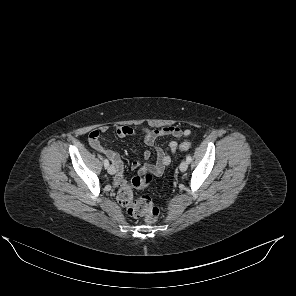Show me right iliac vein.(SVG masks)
Segmentation results:
<instances>
[{
    "instance_id": "right-iliac-vein-1",
    "label": "right iliac vein",
    "mask_w": 296,
    "mask_h": 296,
    "mask_svg": "<svg viewBox=\"0 0 296 296\" xmlns=\"http://www.w3.org/2000/svg\"><path fill=\"white\" fill-rule=\"evenodd\" d=\"M107 170L109 174H115V167L113 165H110Z\"/></svg>"
}]
</instances>
